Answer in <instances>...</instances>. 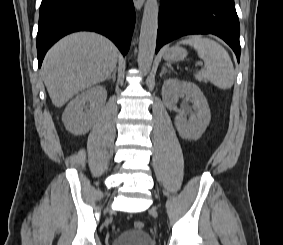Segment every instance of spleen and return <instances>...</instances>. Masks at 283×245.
Wrapping results in <instances>:
<instances>
[{
	"label": "spleen",
	"instance_id": "obj_1",
	"mask_svg": "<svg viewBox=\"0 0 283 245\" xmlns=\"http://www.w3.org/2000/svg\"><path fill=\"white\" fill-rule=\"evenodd\" d=\"M179 44L192 46L204 61V68L196 75L198 80H208L226 90L233 86L234 67L228 52L216 41L200 36L183 39Z\"/></svg>",
	"mask_w": 283,
	"mask_h": 245
}]
</instances>
